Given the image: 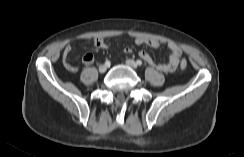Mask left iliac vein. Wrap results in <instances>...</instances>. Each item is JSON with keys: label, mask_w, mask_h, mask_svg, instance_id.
<instances>
[{"label": "left iliac vein", "mask_w": 244, "mask_h": 157, "mask_svg": "<svg viewBox=\"0 0 244 157\" xmlns=\"http://www.w3.org/2000/svg\"><path fill=\"white\" fill-rule=\"evenodd\" d=\"M126 64L133 69H137V63L132 59H127Z\"/></svg>", "instance_id": "obj_1"}]
</instances>
